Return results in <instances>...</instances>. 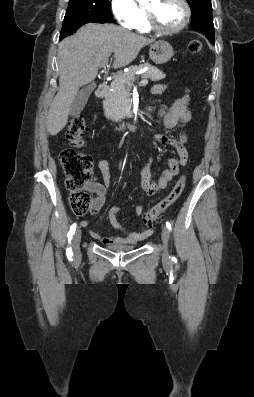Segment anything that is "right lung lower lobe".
<instances>
[{"instance_id": "1", "label": "right lung lower lobe", "mask_w": 254, "mask_h": 397, "mask_svg": "<svg viewBox=\"0 0 254 397\" xmlns=\"http://www.w3.org/2000/svg\"><path fill=\"white\" fill-rule=\"evenodd\" d=\"M107 21H109V20H93V19L84 18V17L64 18L59 40H62L63 38L67 37L68 35L73 34L74 32L77 31V29H79L82 25H84L86 23H89V22L105 23Z\"/></svg>"}]
</instances>
